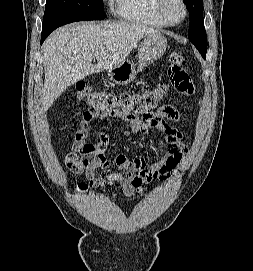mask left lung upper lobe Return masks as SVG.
I'll list each match as a JSON object with an SVG mask.
<instances>
[{"mask_svg":"<svg viewBox=\"0 0 253 271\" xmlns=\"http://www.w3.org/2000/svg\"><path fill=\"white\" fill-rule=\"evenodd\" d=\"M189 11V40L195 45L203 58L207 52V36L203 19V0H183Z\"/></svg>","mask_w":253,"mask_h":271,"instance_id":"5c2ea615","label":"left lung upper lobe"}]
</instances>
